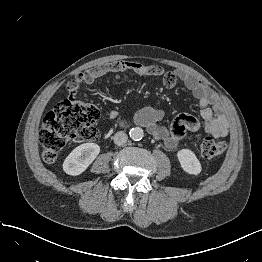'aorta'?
Listing matches in <instances>:
<instances>
[{
    "label": "aorta",
    "mask_w": 262,
    "mask_h": 262,
    "mask_svg": "<svg viewBox=\"0 0 262 262\" xmlns=\"http://www.w3.org/2000/svg\"><path fill=\"white\" fill-rule=\"evenodd\" d=\"M129 135L132 140L140 141L144 137V132L142 128L135 127L130 130Z\"/></svg>",
    "instance_id": "762f6f07"
}]
</instances>
